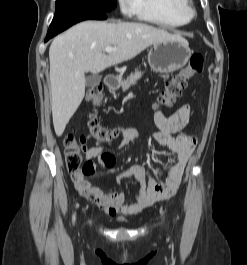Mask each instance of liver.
<instances>
[{
  "mask_svg": "<svg viewBox=\"0 0 247 265\" xmlns=\"http://www.w3.org/2000/svg\"><path fill=\"white\" fill-rule=\"evenodd\" d=\"M182 39L143 23L84 21L57 36L49 48L52 118L61 136L85 95V73L128 61L150 45ZM108 46L116 50L105 54Z\"/></svg>",
  "mask_w": 247,
  "mask_h": 265,
  "instance_id": "1",
  "label": "liver"
}]
</instances>
